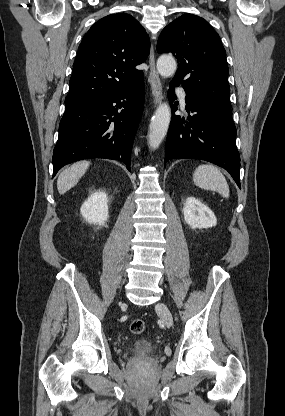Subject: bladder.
I'll use <instances>...</instances> for the list:
<instances>
[{"mask_svg":"<svg viewBox=\"0 0 285 416\" xmlns=\"http://www.w3.org/2000/svg\"><path fill=\"white\" fill-rule=\"evenodd\" d=\"M160 347L157 341L150 338H139L130 341V352L132 355H154Z\"/></svg>","mask_w":285,"mask_h":416,"instance_id":"1","label":"bladder"}]
</instances>
